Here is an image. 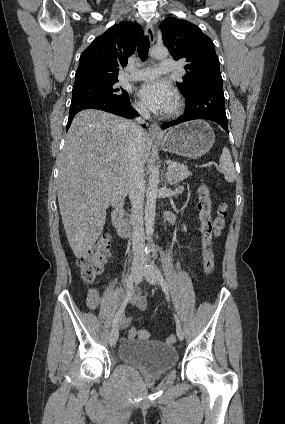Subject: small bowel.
Instances as JSON below:
<instances>
[{
    "instance_id": "obj_1",
    "label": "small bowel",
    "mask_w": 285,
    "mask_h": 424,
    "mask_svg": "<svg viewBox=\"0 0 285 424\" xmlns=\"http://www.w3.org/2000/svg\"><path fill=\"white\" fill-rule=\"evenodd\" d=\"M178 191L181 192L182 190L179 189ZM169 218L172 221L175 220L174 217L171 215L169 216ZM181 230L183 232L186 231V228L184 225H181ZM131 294L132 295L130 297H127V293H126L125 299H127V303L140 310H144L147 306V295L146 294L142 295L137 288H133ZM86 302H87V306L91 310H96L100 306L107 304L103 299L100 298L98 292L94 289L89 291ZM125 307L126 306L124 305V302H123L122 304L118 306V311H117V312L121 311V315L119 318L120 319L119 325L121 328H127L130 324V318L125 314Z\"/></svg>"
}]
</instances>
